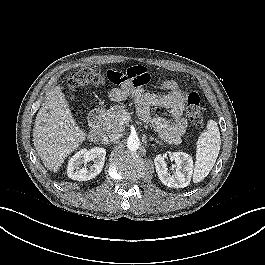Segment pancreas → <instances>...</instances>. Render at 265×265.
<instances>
[{"label": "pancreas", "instance_id": "obj_1", "mask_svg": "<svg viewBox=\"0 0 265 265\" xmlns=\"http://www.w3.org/2000/svg\"><path fill=\"white\" fill-rule=\"evenodd\" d=\"M127 109L124 104L116 105L104 113L102 120L103 130L106 132H122L125 128L124 121L122 122V115L126 113Z\"/></svg>", "mask_w": 265, "mask_h": 265}]
</instances>
